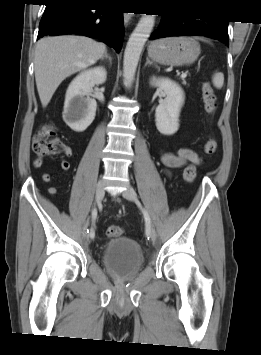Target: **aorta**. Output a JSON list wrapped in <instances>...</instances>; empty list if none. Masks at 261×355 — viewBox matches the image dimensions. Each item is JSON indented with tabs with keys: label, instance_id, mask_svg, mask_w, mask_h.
Instances as JSON below:
<instances>
[{
	"label": "aorta",
	"instance_id": "1",
	"mask_svg": "<svg viewBox=\"0 0 261 355\" xmlns=\"http://www.w3.org/2000/svg\"><path fill=\"white\" fill-rule=\"evenodd\" d=\"M154 22V15L144 14L129 37L123 60V76L128 85H130L135 78L141 52L153 30Z\"/></svg>",
	"mask_w": 261,
	"mask_h": 355
}]
</instances>
